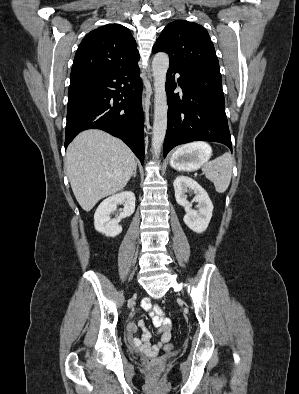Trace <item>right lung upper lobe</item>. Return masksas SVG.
<instances>
[{"instance_id": "cb5924a9", "label": "right lung upper lobe", "mask_w": 299, "mask_h": 394, "mask_svg": "<svg viewBox=\"0 0 299 394\" xmlns=\"http://www.w3.org/2000/svg\"><path fill=\"white\" fill-rule=\"evenodd\" d=\"M138 60L137 44L129 29L119 24H107L91 31L82 40L70 77L131 67Z\"/></svg>"}]
</instances>
